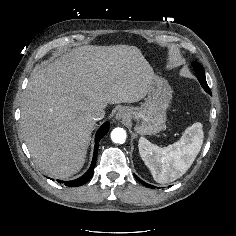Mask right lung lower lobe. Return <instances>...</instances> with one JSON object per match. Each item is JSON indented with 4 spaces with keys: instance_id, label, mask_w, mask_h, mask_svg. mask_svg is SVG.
I'll use <instances>...</instances> for the list:
<instances>
[{
    "instance_id": "right-lung-lower-lobe-1",
    "label": "right lung lower lobe",
    "mask_w": 236,
    "mask_h": 236,
    "mask_svg": "<svg viewBox=\"0 0 236 236\" xmlns=\"http://www.w3.org/2000/svg\"><path fill=\"white\" fill-rule=\"evenodd\" d=\"M108 129H109V123L107 122L100 127V129L98 130L96 134V139H95L96 143H95V148H94L93 160H92L89 170L82 177L76 180L65 181V182L58 180L59 183H65V185L69 187H77V186H81L85 184L91 178L94 172L95 164H96L99 141L103 136H105V134L108 132Z\"/></svg>"
}]
</instances>
